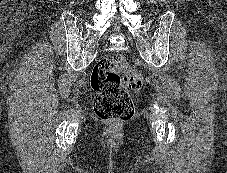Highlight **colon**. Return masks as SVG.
I'll return each mask as SVG.
<instances>
[{"label":"colon","instance_id":"5ec220e1","mask_svg":"<svg viewBox=\"0 0 227 173\" xmlns=\"http://www.w3.org/2000/svg\"><path fill=\"white\" fill-rule=\"evenodd\" d=\"M91 86L96 93L94 113L103 121L125 122L134 115L129 90L142 85V75L121 55L99 60L91 73Z\"/></svg>","mask_w":227,"mask_h":173}]
</instances>
